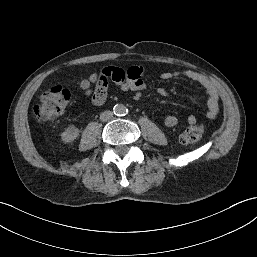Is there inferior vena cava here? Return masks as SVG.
I'll return each mask as SVG.
<instances>
[{"label": "inferior vena cava", "mask_w": 257, "mask_h": 257, "mask_svg": "<svg viewBox=\"0 0 257 257\" xmlns=\"http://www.w3.org/2000/svg\"><path fill=\"white\" fill-rule=\"evenodd\" d=\"M113 117V112L112 111H104L100 115V120L103 122L109 121Z\"/></svg>", "instance_id": "obj_1"}]
</instances>
